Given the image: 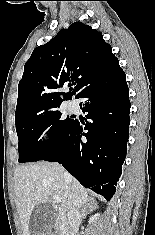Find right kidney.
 <instances>
[{"instance_id":"ca27d5eb","label":"right kidney","mask_w":155,"mask_h":235,"mask_svg":"<svg viewBox=\"0 0 155 235\" xmlns=\"http://www.w3.org/2000/svg\"><path fill=\"white\" fill-rule=\"evenodd\" d=\"M100 216V214H94L93 216H91L90 218H89V221H88V223L89 224H92V223H95L96 221H97V219H98V217Z\"/></svg>"}]
</instances>
